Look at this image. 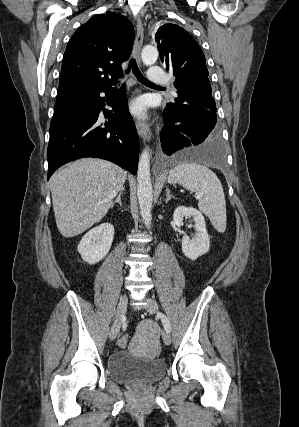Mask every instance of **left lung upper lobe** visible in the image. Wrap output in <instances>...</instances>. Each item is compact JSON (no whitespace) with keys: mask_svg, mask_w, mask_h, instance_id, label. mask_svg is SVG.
Returning <instances> with one entry per match:
<instances>
[{"mask_svg":"<svg viewBox=\"0 0 299 427\" xmlns=\"http://www.w3.org/2000/svg\"><path fill=\"white\" fill-rule=\"evenodd\" d=\"M155 41L164 67L176 76L174 85L178 95L186 100L208 103L216 111L205 56L197 41L174 24L162 25Z\"/></svg>","mask_w":299,"mask_h":427,"instance_id":"5c2ea615","label":"left lung upper lobe"}]
</instances>
